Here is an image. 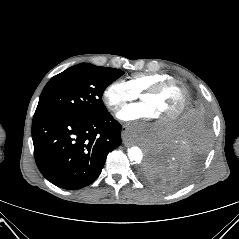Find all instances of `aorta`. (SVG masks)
I'll list each match as a JSON object with an SVG mask.
<instances>
[{"mask_svg": "<svg viewBox=\"0 0 239 239\" xmlns=\"http://www.w3.org/2000/svg\"><path fill=\"white\" fill-rule=\"evenodd\" d=\"M128 158L130 161H134L136 163H140L143 159V152L142 150L137 146H132L128 148Z\"/></svg>", "mask_w": 239, "mask_h": 239, "instance_id": "1", "label": "aorta"}]
</instances>
